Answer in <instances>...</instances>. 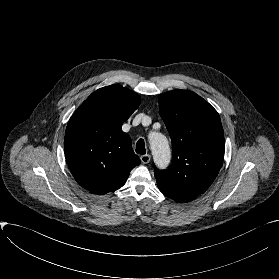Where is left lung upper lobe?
<instances>
[{"label": "left lung upper lobe", "mask_w": 279, "mask_h": 279, "mask_svg": "<svg viewBox=\"0 0 279 279\" xmlns=\"http://www.w3.org/2000/svg\"><path fill=\"white\" fill-rule=\"evenodd\" d=\"M160 116L173 149L168 170H155L159 187L195 199L219 173L224 158V132L217 111L189 90H173L159 97Z\"/></svg>", "instance_id": "1"}]
</instances>
